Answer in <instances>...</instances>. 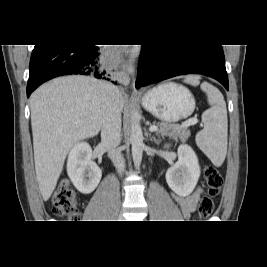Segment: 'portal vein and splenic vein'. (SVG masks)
<instances>
[{
    "label": "portal vein and splenic vein",
    "mask_w": 267,
    "mask_h": 267,
    "mask_svg": "<svg viewBox=\"0 0 267 267\" xmlns=\"http://www.w3.org/2000/svg\"><path fill=\"white\" fill-rule=\"evenodd\" d=\"M197 123H198V120H197L196 118H192V119H189V120L185 121L184 123H182V125H181L180 127H189V126H191V125H195V124H197ZM157 129H158V127L155 126V125H153V126H151V127L149 128V130H150L151 132H154V131H156Z\"/></svg>",
    "instance_id": "18ae733b"
}]
</instances>
